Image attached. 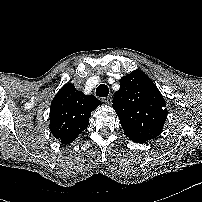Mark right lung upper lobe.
Here are the masks:
<instances>
[{
    "mask_svg": "<svg viewBox=\"0 0 202 202\" xmlns=\"http://www.w3.org/2000/svg\"><path fill=\"white\" fill-rule=\"evenodd\" d=\"M100 104L93 95H84L73 84H65L51 103V133L62 144H70L88 127L91 112Z\"/></svg>",
    "mask_w": 202,
    "mask_h": 202,
    "instance_id": "right-lung-upper-lobe-1",
    "label": "right lung upper lobe"
}]
</instances>
